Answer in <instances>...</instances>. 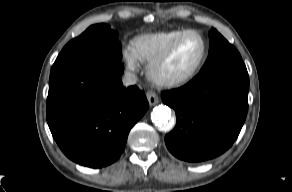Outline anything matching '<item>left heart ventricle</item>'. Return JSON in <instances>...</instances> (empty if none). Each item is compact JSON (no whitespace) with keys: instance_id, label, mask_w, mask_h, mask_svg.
Segmentation results:
<instances>
[{"instance_id":"obj_1","label":"left heart ventricle","mask_w":292,"mask_h":192,"mask_svg":"<svg viewBox=\"0 0 292 192\" xmlns=\"http://www.w3.org/2000/svg\"><path fill=\"white\" fill-rule=\"evenodd\" d=\"M202 51L201 39L194 34L187 36L165 64L163 73L170 77L186 74L197 64Z\"/></svg>"}]
</instances>
